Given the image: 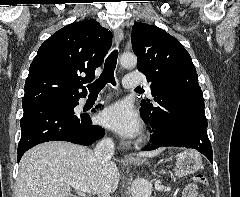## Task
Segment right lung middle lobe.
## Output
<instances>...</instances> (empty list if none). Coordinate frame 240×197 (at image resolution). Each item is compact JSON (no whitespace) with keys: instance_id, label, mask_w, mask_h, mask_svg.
<instances>
[{"instance_id":"dd1d6c3e","label":"right lung middle lobe","mask_w":240,"mask_h":197,"mask_svg":"<svg viewBox=\"0 0 240 197\" xmlns=\"http://www.w3.org/2000/svg\"><path fill=\"white\" fill-rule=\"evenodd\" d=\"M69 108H72V106H70V105H67ZM73 110V109H72Z\"/></svg>"}]
</instances>
